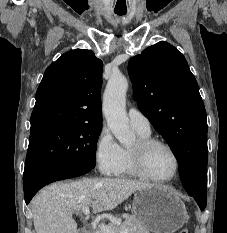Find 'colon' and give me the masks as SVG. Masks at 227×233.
Segmentation results:
<instances>
[{
	"mask_svg": "<svg viewBox=\"0 0 227 233\" xmlns=\"http://www.w3.org/2000/svg\"><path fill=\"white\" fill-rule=\"evenodd\" d=\"M177 233H189V230L187 228H182Z\"/></svg>",
	"mask_w": 227,
	"mask_h": 233,
	"instance_id": "1",
	"label": "colon"
}]
</instances>
